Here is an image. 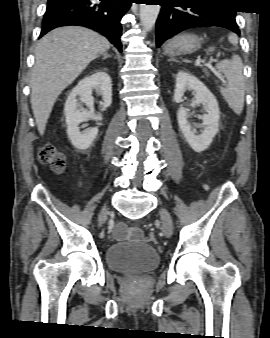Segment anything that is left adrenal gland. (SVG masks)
Listing matches in <instances>:
<instances>
[{
	"label": "left adrenal gland",
	"instance_id": "left-adrenal-gland-1",
	"mask_svg": "<svg viewBox=\"0 0 270 338\" xmlns=\"http://www.w3.org/2000/svg\"><path fill=\"white\" fill-rule=\"evenodd\" d=\"M169 61H177V60H175L174 58H171V59H169Z\"/></svg>",
	"mask_w": 270,
	"mask_h": 338
}]
</instances>
